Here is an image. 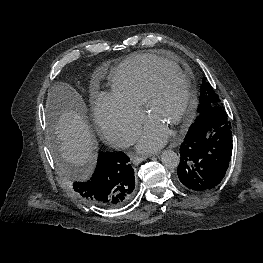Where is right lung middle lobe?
<instances>
[{
	"label": "right lung middle lobe",
	"instance_id": "1",
	"mask_svg": "<svg viewBox=\"0 0 263 263\" xmlns=\"http://www.w3.org/2000/svg\"><path fill=\"white\" fill-rule=\"evenodd\" d=\"M52 150L54 153V158L57 164V168L61 174V176L66 179V180H71L74 181L73 179H75V172L73 171V169L70 167V163H68L61 155L60 151H59V144L54 142L53 146H52ZM72 165V164H71ZM73 166V165H72Z\"/></svg>",
	"mask_w": 263,
	"mask_h": 263
}]
</instances>
